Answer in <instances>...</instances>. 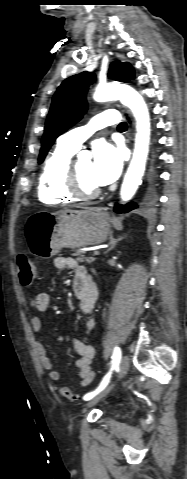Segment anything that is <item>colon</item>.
I'll return each instance as SVG.
<instances>
[{
  "label": "colon",
  "mask_w": 187,
  "mask_h": 479,
  "mask_svg": "<svg viewBox=\"0 0 187 479\" xmlns=\"http://www.w3.org/2000/svg\"><path fill=\"white\" fill-rule=\"evenodd\" d=\"M16 265L20 283L23 286H30L35 278L36 270L32 260L25 254H19L16 258ZM58 392L64 398L70 401H76L77 396L67 386L57 387Z\"/></svg>",
  "instance_id": "obj_1"
}]
</instances>
